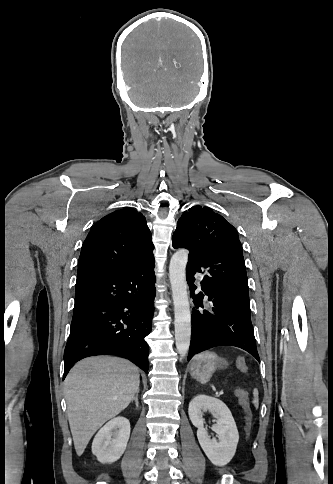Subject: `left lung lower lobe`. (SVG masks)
<instances>
[{
  "mask_svg": "<svg viewBox=\"0 0 333 484\" xmlns=\"http://www.w3.org/2000/svg\"><path fill=\"white\" fill-rule=\"evenodd\" d=\"M174 248L190 251L186 275L195 308L188 360L216 346H236L252 354L259 362L248 294V280L242 248L235 239H219L192 247L182 236L174 237ZM206 272L202 291L194 294L196 272ZM208 296L210 308L204 309Z\"/></svg>",
  "mask_w": 333,
  "mask_h": 484,
  "instance_id": "1",
  "label": "left lung lower lobe"
}]
</instances>
